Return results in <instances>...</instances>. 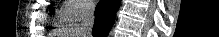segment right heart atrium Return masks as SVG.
<instances>
[{
    "label": "right heart atrium",
    "mask_w": 219,
    "mask_h": 37,
    "mask_svg": "<svg viewBox=\"0 0 219 37\" xmlns=\"http://www.w3.org/2000/svg\"><path fill=\"white\" fill-rule=\"evenodd\" d=\"M93 5L91 1L67 0L61 10V18L66 21H80L91 13Z\"/></svg>",
    "instance_id": "right-heart-atrium-1"
}]
</instances>
